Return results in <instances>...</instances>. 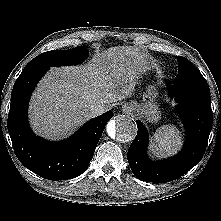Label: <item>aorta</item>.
Segmentation results:
<instances>
[{"label": "aorta", "mask_w": 221, "mask_h": 221, "mask_svg": "<svg viewBox=\"0 0 221 221\" xmlns=\"http://www.w3.org/2000/svg\"><path fill=\"white\" fill-rule=\"evenodd\" d=\"M106 128L111 139L123 143L132 141L137 133L135 121L125 115H118L111 119Z\"/></svg>", "instance_id": "762f6f07"}]
</instances>
